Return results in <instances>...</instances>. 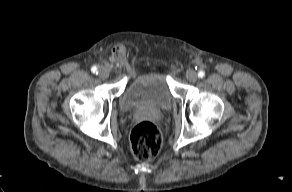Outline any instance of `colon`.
<instances>
[{"label": "colon", "mask_w": 292, "mask_h": 192, "mask_svg": "<svg viewBox=\"0 0 292 192\" xmlns=\"http://www.w3.org/2000/svg\"><path fill=\"white\" fill-rule=\"evenodd\" d=\"M130 140L133 155L140 161L153 159L162 146L161 134L150 121L137 123L131 131Z\"/></svg>", "instance_id": "colon-1"}]
</instances>
